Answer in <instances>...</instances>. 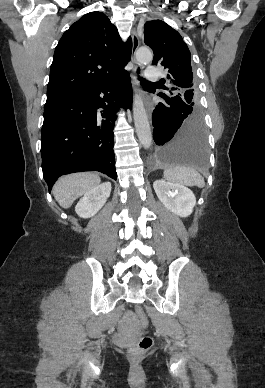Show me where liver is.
I'll use <instances>...</instances> for the list:
<instances>
[{"label": "liver", "mask_w": 265, "mask_h": 388, "mask_svg": "<svg viewBox=\"0 0 265 388\" xmlns=\"http://www.w3.org/2000/svg\"><path fill=\"white\" fill-rule=\"evenodd\" d=\"M101 180L98 174L83 172V174H69L59 178L53 186V196L62 208H71L73 202L89 190L99 186Z\"/></svg>", "instance_id": "1"}]
</instances>
